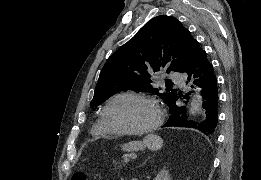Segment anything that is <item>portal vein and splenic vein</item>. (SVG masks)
<instances>
[{
  "instance_id": "18ae733b",
  "label": "portal vein and splenic vein",
  "mask_w": 261,
  "mask_h": 180,
  "mask_svg": "<svg viewBox=\"0 0 261 180\" xmlns=\"http://www.w3.org/2000/svg\"><path fill=\"white\" fill-rule=\"evenodd\" d=\"M131 154H129L130 156ZM122 162L125 163V164H128L130 162V159L129 158H123L122 159Z\"/></svg>"
}]
</instances>
